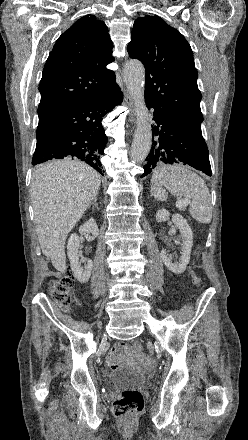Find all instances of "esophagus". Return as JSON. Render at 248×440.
<instances>
[{
    "label": "esophagus",
    "instance_id": "obj_1",
    "mask_svg": "<svg viewBox=\"0 0 248 440\" xmlns=\"http://www.w3.org/2000/svg\"><path fill=\"white\" fill-rule=\"evenodd\" d=\"M127 103H128L130 108L134 107V102H133V99H132V97L130 95H127ZM133 121H134V117L131 118V122L132 123H133Z\"/></svg>",
    "mask_w": 248,
    "mask_h": 440
}]
</instances>
